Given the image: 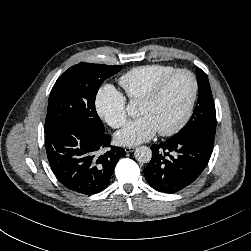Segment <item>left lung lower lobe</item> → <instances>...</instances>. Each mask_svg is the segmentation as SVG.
I'll use <instances>...</instances> for the list:
<instances>
[{"label": "left lung lower lobe", "instance_id": "left-lung-lower-lobe-1", "mask_svg": "<svg viewBox=\"0 0 251 251\" xmlns=\"http://www.w3.org/2000/svg\"><path fill=\"white\" fill-rule=\"evenodd\" d=\"M213 145L214 138L202 133L152 145V159L144 169L147 182L164 193H175L188 187L207 166Z\"/></svg>", "mask_w": 251, "mask_h": 251}]
</instances>
